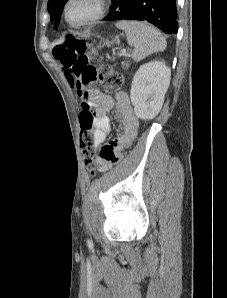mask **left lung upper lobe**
<instances>
[{
  "label": "left lung upper lobe",
  "instance_id": "5c2ea615",
  "mask_svg": "<svg viewBox=\"0 0 227 298\" xmlns=\"http://www.w3.org/2000/svg\"><path fill=\"white\" fill-rule=\"evenodd\" d=\"M66 2L67 0H49L48 2V12L51 17V22H54L55 29L58 27L60 15Z\"/></svg>",
  "mask_w": 227,
  "mask_h": 298
}]
</instances>
